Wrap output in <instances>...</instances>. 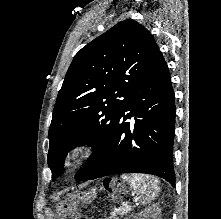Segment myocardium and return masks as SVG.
Returning <instances> with one entry per match:
<instances>
[{"label": "myocardium", "mask_w": 221, "mask_h": 219, "mask_svg": "<svg viewBox=\"0 0 221 219\" xmlns=\"http://www.w3.org/2000/svg\"><path fill=\"white\" fill-rule=\"evenodd\" d=\"M92 151V146L87 141H79L73 144L63 157L64 167L71 169L77 167L86 160Z\"/></svg>", "instance_id": "1"}]
</instances>
